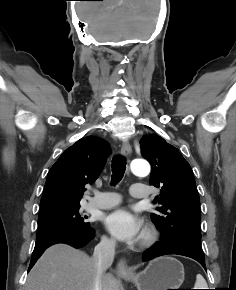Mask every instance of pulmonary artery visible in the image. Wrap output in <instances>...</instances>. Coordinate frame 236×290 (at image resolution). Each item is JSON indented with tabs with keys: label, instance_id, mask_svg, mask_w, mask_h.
I'll return each instance as SVG.
<instances>
[{
	"label": "pulmonary artery",
	"instance_id": "obj_1",
	"mask_svg": "<svg viewBox=\"0 0 236 290\" xmlns=\"http://www.w3.org/2000/svg\"><path fill=\"white\" fill-rule=\"evenodd\" d=\"M130 194L134 199L144 200L150 197V190L140 185L130 187ZM121 201L120 195L115 192L96 193L88 202V205L98 209H108L116 206Z\"/></svg>",
	"mask_w": 236,
	"mask_h": 290
}]
</instances>
